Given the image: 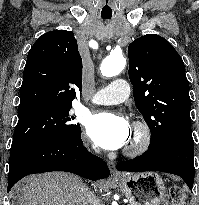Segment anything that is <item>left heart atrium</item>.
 I'll list each match as a JSON object with an SVG mask.
<instances>
[{
  "mask_svg": "<svg viewBox=\"0 0 199 205\" xmlns=\"http://www.w3.org/2000/svg\"><path fill=\"white\" fill-rule=\"evenodd\" d=\"M87 135L98 146L116 150L129 142L132 128L129 121L123 116L100 113L89 119Z\"/></svg>",
  "mask_w": 199,
  "mask_h": 205,
  "instance_id": "left-heart-atrium-1",
  "label": "left heart atrium"
}]
</instances>
